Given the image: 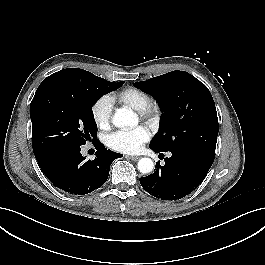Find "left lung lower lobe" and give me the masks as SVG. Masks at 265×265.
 I'll list each match as a JSON object with an SVG mask.
<instances>
[{"instance_id": "0a47b994", "label": "left lung lower lobe", "mask_w": 265, "mask_h": 265, "mask_svg": "<svg viewBox=\"0 0 265 265\" xmlns=\"http://www.w3.org/2000/svg\"><path fill=\"white\" fill-rule=\"evenodd\" d=\"M170 152L172 155L164 159V166L156 164L153 174L140 178V184L149 194L163 200H177L190 194L204 180L214 161L196 151Z\"/></svg>"}]
</instances>
